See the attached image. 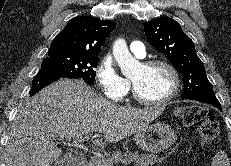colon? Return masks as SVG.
<instances>
[{"instance_id": "colon-1", "label": "colon", "mask_w": 231, "mask_h": 166, "mask_svg": "<svg viewBox=\"0 0 231 166\" xmlns=\"http://www.w3.org/2000/svg\"><path fill=\"white\" fill-rule=\"evenodd\" d=\"M175 113L184 124L197 129L202 147L207 148L215 141L218 124L208 108L199 105H180Z\"/></svg>"}]
</instances>
